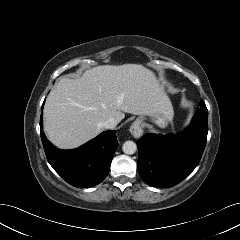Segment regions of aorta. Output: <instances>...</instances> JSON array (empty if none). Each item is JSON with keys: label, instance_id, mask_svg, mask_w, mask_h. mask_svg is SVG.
Wrapping results in <instances>:
<instances>
[{"label": "aorta", "instance_id": "aorta-1", "mask_svg": "<svg viewBox=\"0 0 240 240\" xmlns=\"http://www.w3.org/2000/svg\"><path fill=\"white\" fill-rule=\"evenodd\" d=\"M122 150L125 154L132 155L137 150V145L133 141H126L122 146Z\"/></svg>", "mask_w": 240, "mask_h": 240}]
</instances>
